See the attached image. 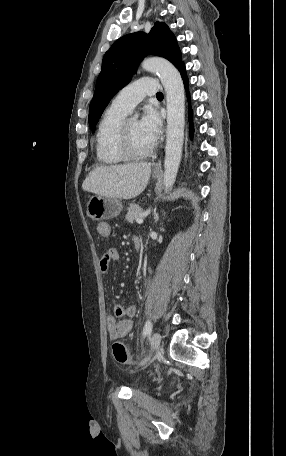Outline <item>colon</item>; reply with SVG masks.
<instances>
[{
	"instance_id": "5ec220e1",
	"label": "colon",
	"mask_w": 286,
	"mask_h": 456,
	"mask_svg": "<svg viewBox=\"0 0 286 456\" xmlns=\"http://www.w3.org/2000/svg\"><path fill=\"white\" fill-rule=\"evenodd\" d=\"M113 356L115 360L123 365L131 364V357L127 347L121 343L116 342L112 346Z\"/></svg>"
}]
</instances>
